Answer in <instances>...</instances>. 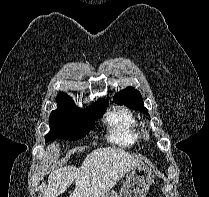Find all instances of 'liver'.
Here are the masks:
<instances>
[{"instance_id":"1","label":"liver","mask_w":209,"mask_h":197,"mask_svg":"<svg viewBox=\"0 0 209 197\" xmlns=\"http://www.w3.org/2000/svg\"><path fill=\"white\" fill-rule=\"evenodd\" d=\"M52 158L57 156L51 144ZM143 162L115 147L97 148L86 156L80 167L62 166L49 174L44 197H57L75 181L70 197H103L131 169Z\"/></svg>"}]
</instances>
